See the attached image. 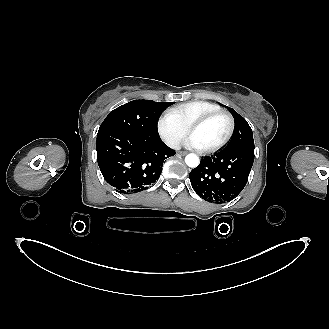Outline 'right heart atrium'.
I'll list each match as a JSON object with an SVG mask.
<instances>
[{
  "label": "right heart atrium",
  "instance_id": "obj_1",
  "mask_svg": "<svg viewBox=\"0 0 329 329\" xmlns=\"http://www.w3.org/2000/svg\"><path fill=\"white\" fill-rule=\"evenodd\" d=\"M156 129L162 141L170 148H176L187 134V128L170 111L158 118Z\"/></svg>",
  "mask_w": 329,
  "mask_h": 329
}]
</instances>
